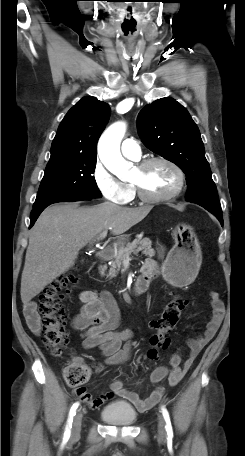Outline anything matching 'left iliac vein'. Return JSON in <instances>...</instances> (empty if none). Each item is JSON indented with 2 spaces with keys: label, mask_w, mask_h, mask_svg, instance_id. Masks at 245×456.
I'll return each mask as SVG.
<instances>
[{
  "label": "left iliac vein",
  "mask_w": 245,
  "mask_h": 456,
  "mask_svg": "<svg viewBox=\"0 0 245 456\" xmlns=\"http://www.w3.org/2000/svg\"><path fill=\"white\" fill-rule=\"evenodd\" d=\"M158 434H159V438L162 440L166 436L165 421H164L163 417H161V416L159 417V420H158Z\"/></svg>",
  "instance_id": "4c4485c4"
}]
</instances>
